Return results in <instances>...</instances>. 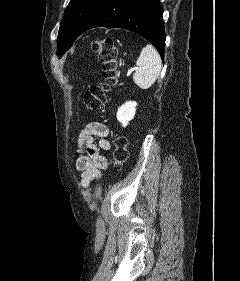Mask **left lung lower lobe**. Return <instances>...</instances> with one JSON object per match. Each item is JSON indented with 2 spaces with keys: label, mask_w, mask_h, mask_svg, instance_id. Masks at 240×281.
<instances>
[{
  "label": "left lung lower lobe",
  "mask_w": 240,
  "mask_h": 281,
  "mask_svg": "<svg viewBox=\"0 0 240 281\" xmlns=\"http://www.w3.org/2000/svg\"><path fill=\"white\" fill-rule=\"evenodd\" d=\"M163 8L159 0H102L80 35L95 27L124 28L147 39L164 57Z\"/></svg>",
  "instance_id": "left-lung-lower-lobe-1"
}]
</instances>
